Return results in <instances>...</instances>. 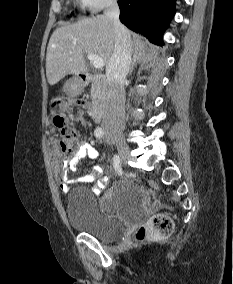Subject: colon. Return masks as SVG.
Wrapping results in <instances>:
<instances>
[{
	"instance_id": "1",
	"label": "colon",
	"mask_w": 233,
	"mask_h": 284,
	"mask_svg": "<svg viewBox=\"0 0 233 284\" xmlns=\"http://www.w3.org/2000/svg\"><path fill=\"white\" fill-rule=\"evenodd\" d=\"M72 104L79 107H88L90 101L87 97L75 99ZM54 124L60 130L62 140L61 148L65 154H72L77 148L78 132L72 127L65 115L58 113L54 116ZM173 230L171 218L164 214L153 216L147 223L142 225L135 233V240L142 241L148 237L166 238Z\"/></svg>"
}]
</instances>
